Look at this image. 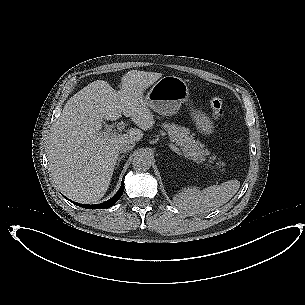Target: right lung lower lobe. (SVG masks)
I'll return each mask as SVG.
<instances>
[{
  "mask_svg": "<svg viewBox=\"0 0 305 305\" xmlns=\"http://www.w3.org/2000/svg\"><path fill=\"white\" fill-rule=\"evenodd\" d=\"M124 191V182L122 181V184L120 186V189L118 190V192L108 201L101 203V204H96V205H86V204H79L76 202H73L75 205H78L82 208H87V209H99V208H109L111 206H113L122 196Z\"/></svg>",
  "mask_w": 305,
  "mask_h": 305,
  "instance_id": "obj_1",
  "label": "right lung lower lobe"
}]
</instances>
